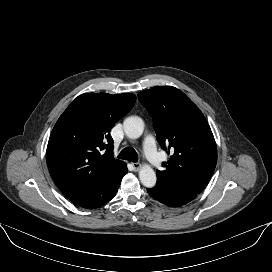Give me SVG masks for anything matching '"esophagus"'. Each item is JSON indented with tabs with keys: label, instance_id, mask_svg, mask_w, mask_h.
I'll return each mask as SVG.
<instances>
[{
	"label": "esophagus",
	"instance_id": "obj_1",
	"mask_svg": "<svg viewBox=\"0 0 272 272\" xmlns=\"http://www.w3.org/2000/svg\"><path fill=\"white\" fill-rule=\"evenodd\" d=\"M131 165L134 171H138L141 167L140 163H137V162H133Z\"/></svg>",
	"mask_w": 272,
	"mask_h": 272
}]
</instances>
